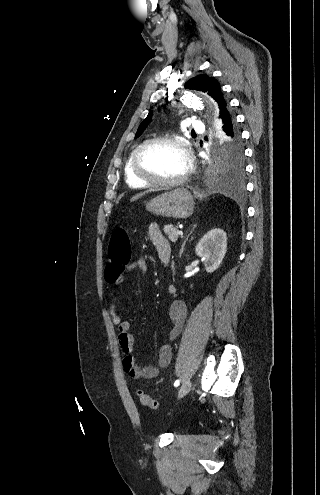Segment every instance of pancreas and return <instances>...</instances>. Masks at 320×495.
Returning a JSON list of instances; mask_svg holds the SVG:
<instances>
[{"instance_id": "1", "label": "pancreas", "mask_w": 320, "mask_h": 495, "mask_svg": "<svg viewBox=\"0 0 320 495\" xmlns=\"http://www.w3.org/2000/svg\"><path fill=\"white\" fill-rule=\"evenodd\" d=\"M178 228L176 226H173L172 224H168L164 226V232L168 236L169 240L172 242H176L178 239V234H177Z\"/></svg>"}]
</instances>
